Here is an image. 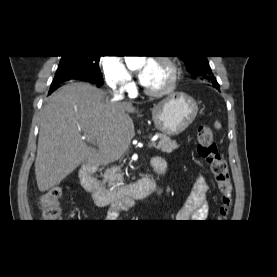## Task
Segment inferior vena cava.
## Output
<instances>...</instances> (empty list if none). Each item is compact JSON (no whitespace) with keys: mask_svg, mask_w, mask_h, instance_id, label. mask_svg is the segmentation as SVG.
Returning <instances> with one entry per match:
<instances>
[{"mask_svg":"<svg viewBox=\"0 0 277 277\" xmlns=\"http://www.w3.org/2000/svg\"><path fill=\"white\" fill-rule=\"evenodd\" d=\"M124 98L123 91L115 90L113 92V100L120 101Z\"/></svg>","mask_w":277,"mask_h":277,"instance_id":"inferior-vena-cava-1","label":"inferior vena cava"}]
</instances>
